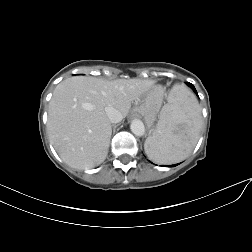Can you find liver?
<instances>
[{
    "label": "liver",
    "mask_w": 252,
    "mask_h": 252,
    "mask_svg": "<svg viewBox=\"0 0 252 252\" xmlns=\"http://www.w3.org/2000/svg\"><path fill=\"white\" fill-rule=\"evenodd\" d=\"M154 87H158L154 81L136 78L108 81L74 76L63 80L49 103L47 132L51 144L73 168L89 169L101 164L112 134L105 107H114L124 118L131 104H138Z\"/></svg>",
    "instance_id": "liver-1"
}]
</instances>
